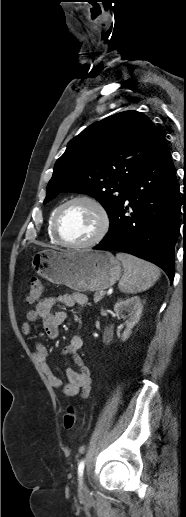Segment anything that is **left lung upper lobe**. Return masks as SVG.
Segmentation results:
<instances>
[{"label": "left lung upper lobe", "mask_w": 186, "mask_h": 517, "mask_svg": "<svg viewBox=\"0 0 186 517\" xmlns=\"http://www.w3.org/2000/svg\"><path fill=\"white\" fill-rule=\"evenodd\" d=\"M163 140L153 122L134 110L95 122L74 137L56 161L44 204L60 192L91 194L111 218L125 201L128 183Z\"/></svg>", "instance_id": "5c2ea615"}]
</instances>
